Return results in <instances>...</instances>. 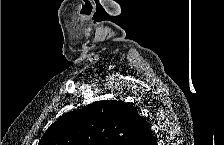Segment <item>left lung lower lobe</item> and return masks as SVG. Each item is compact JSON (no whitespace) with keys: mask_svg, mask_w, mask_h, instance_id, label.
<instances>
[{"mask_svg":"<svg viewBox=\"0 0 224 145\" xmlns=\"http://www.w3.org/2000/svg\"><path fill=\"white\" fill-rule=\"evenodd\" d=\"M131 145H156V140L146 122H141V128Z\"/></svg>","mask_w":224,"mask_h":145,"instance_id":"obj_1","label":"left lung lower lobe"}]
</instances>
